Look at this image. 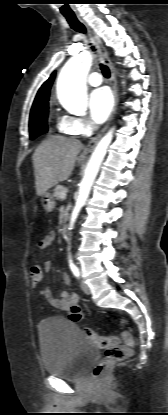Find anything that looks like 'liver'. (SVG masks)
Returning a JSON list of instances; mask_svg holds the SVG:
<instances>
[{
	"label": "liver",
	"instance_id": "obj_1",
	"mask_svg": "<svg viewBox=\"0 0 168 415\" xmlns=\"http://www.w3.org/2000/svg\"><path fill=\"white\" fill-rule=\"evenodd\" d=\"M82 147L79 140L57 136L46 139L37 147L32 159L38 196L70 177L76 161L80 164L83 158V155L77 157Z\"/></svg>",
	"mask_w": 168,
	"mask_h": 415
}]
</instances>
